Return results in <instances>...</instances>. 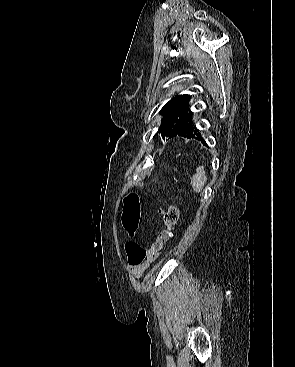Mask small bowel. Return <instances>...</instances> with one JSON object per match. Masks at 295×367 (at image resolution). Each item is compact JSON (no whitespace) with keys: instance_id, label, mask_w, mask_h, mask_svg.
Returning a JSON list of instances; mask_svg holds the SVG:
<instances>
[{"instance_id":"small-bowel-1","label":"small bowel","mask_w":295,"mask_h":367,"mask_svg":"<svg viewBox=\"0 0 295 367\" xmlns=\"http://www.w3.org/2000/svg\"><path fill=\"white\" fill-rule=\"evenodd\" d=\"M148 266H149V263L147 262H144L143 264H140V265H132L129 263V269L136 278H140L141 276H143Z\"/></svg>"}]
</instances>
